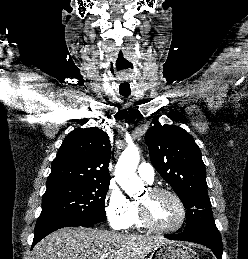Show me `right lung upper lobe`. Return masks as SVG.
I'll list each match as a JSON object with an SVG mask.
<instances>
[{"label":"right lung upper lobe","instance_id":"cb5924a9","mask_svg":"<svg viewBox=\"0 0 248 259\" xmlns=\"http://www.w3.org/2000/svg\"><path fill=\"white\" fill-rule=\"evenodd\" d=\"M111 146L99 128L75 129L64 139L51 166L47 184L109 182Z\"/></svg>","mask_w":248,"mask_h":259}]
</instances>
